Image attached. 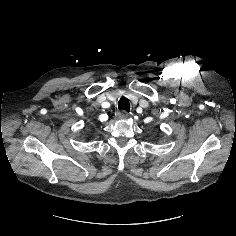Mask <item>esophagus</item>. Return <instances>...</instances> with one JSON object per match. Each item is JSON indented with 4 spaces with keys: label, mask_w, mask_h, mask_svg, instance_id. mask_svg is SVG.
<instances>
[{
    "label": "esophagus",
    "mask_w": 236,
    "mask_h": 236,
    "mask_svg": "<svg viewBox=\"0 0 236 236\" xmlns=\"http://www.w3.org/2000/svg\"><path fill=\"white\" fill-rule=\"evenodd\" d=\"M118 117H119L120 119H125V118L128 117V112H126V111H120V112H118Z\"/></svg>",
    "instance_id": "1"
}]
</instances>
